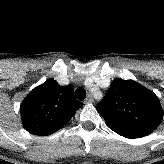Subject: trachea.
I'll return each instance as SVG.
<instances>
[{"instance_id":"1","label":"trachea","mask_w":164,"mask_h":164,"mask_svg":"<svg viewBox=\"0 0 164 164\" xmlns=\"http://www.w3.org/2000/svg\"><path fill=\"white\" fill-rule=\"evenodd\" d=\"M77 99L83 101L86 97V91L83 87H78L75 91Z\"/></svg>"}]
</instances>
